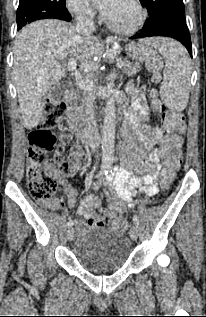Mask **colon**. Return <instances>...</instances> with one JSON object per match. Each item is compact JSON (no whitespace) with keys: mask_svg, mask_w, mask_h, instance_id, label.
I'll list each match as a JSON object with an SVG mask.
<instances>
[{"mask_svg":"<svg viewBox=\"0 0 206 317\" xmlns=\"http://www.w3.org/2000/svg\"><path fill=\"white\" fill-rule=\"evenodd\" d=\"M147 64L152 71H158L161 62L159 58L153 57ZM160 111L163 126L167 132L183 133L185 131V117L182 113L166 109L164 106L161 107ZM45 112V119L28 135V190L30 195L38 201L51 200L58 189L57 179L52 174L50 153H54V161L58 164L63 175H71L74 172L73 163L62 158L63 144L67 141V136L61 135V143H58L57 130L67 116L66 104L47 106ZM181 159L182 154L179 150H174L167 158L162 171L164 187H167L173 180ZM98 212L103 213V208L99 207ZM111 226L118 231L127 229L126 221L119 218L114 220Z\"/></svg>","mask_w":206,"mask_h":317,"instance_id":"1","label":"colon"}]
</instances>
